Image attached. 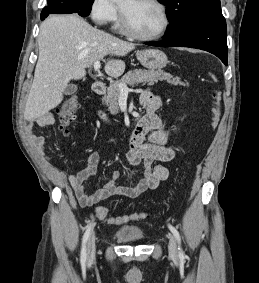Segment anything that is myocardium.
Listing matches in <instances>:
<instances>
[{
	"mask_svg": "<svg viewBox=\"0 0 259 283\" xmlns=\"http://www.w3.org/2000/svg\"><path fill=\"white\" fill-rule=\"evenodd\" d=\"M148 1L157 5L159 7V9L161 10L162 14H163L164 26H163L162 30L155 35H143V34L138 33L132 27L125 11L121 7H119L121 27H122L123 32L125 34H127L128 36L135 38V39H138V40L151 41V40L160 39L167 33V31L170 27V23H171L167 7L160 0H148Z\"/></svg>",
	"mask_w": 259,
	"mask_h": 283,
	"instance_id": "f54148a6",
	"label": "myocardium"
}]
</instances>
